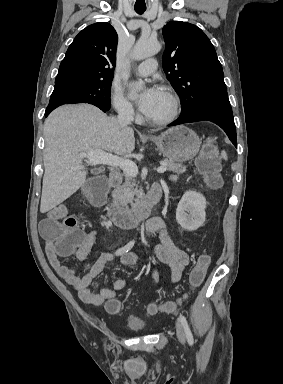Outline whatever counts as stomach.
<instances>
[{"instance_id": "stomach-1", "label": "stomach", "mask_w": 283, "mask_h": 384, "mask_svg": "<svg viewBox=\"0 0 283 384\" xmlns=\"http://www.w3.org/2000/svg\"><path fill=\"white\" fill-rule=\"evenodd\" d=\"M161 154L170 162H188L199 152L200 140L190 128L175 126L163 132L158 138H151Z\"/></svg>"}]
</instances>
